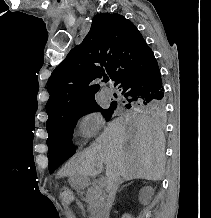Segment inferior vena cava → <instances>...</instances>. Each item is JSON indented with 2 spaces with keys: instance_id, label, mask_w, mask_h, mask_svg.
Wrapping results in <instances>:
<instances>
[{
  "instance_id": "inferior-vena-cava-1",
  "label": "inferior vena cava",
  "mask_w": 211,
  "mask_h": 218,
  "mask_svg": "<svg viewBox=\"0 0 211 218\" xmlns=\"http://www.w3.org/2000/svg\"><path fill=\"white\" fill-rule=\"evenodd\" d=\"M106 176H107L106 192L108 194L106 210L108 212L109 208H111L112 202H114V198L116 196L118 186L121 182V178H117V176H114V174H111V172H106Z\"/></svg>"
}]
</instances>
